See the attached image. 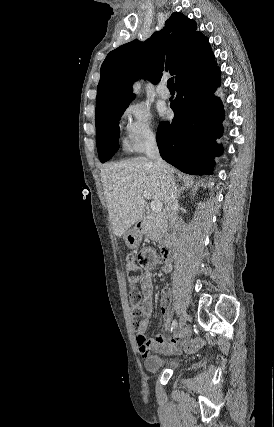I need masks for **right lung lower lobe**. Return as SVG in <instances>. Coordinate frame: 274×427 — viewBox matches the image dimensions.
<instances>
[{
	"label": "right lung lower lobe",
	"mask_w": 274,
	"mask_h": 427,
	"mask_svg": "<svg viewBox=\"0 0 274 427\" xmlns=\"http://www.w3.org/2000/svg\"><path fill=\"white\" fill-rule=\"evenodd\" d=\"M220 83L215 61L189 72L175 84L177 96L170 104L175 114L172 122H162L158 127L161 157L187 174H212L213 159L222 153L216 139L223 132L224 110L214 95Z\"/></svg>",
	"instance_id": "right-lung-lower-lobe-1"
}]
</instances>
